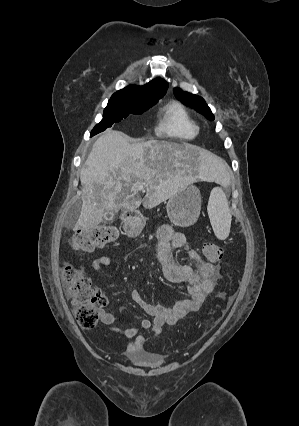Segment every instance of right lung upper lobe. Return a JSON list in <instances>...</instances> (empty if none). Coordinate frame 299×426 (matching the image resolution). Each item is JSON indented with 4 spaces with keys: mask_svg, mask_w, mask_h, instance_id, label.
I'll use <instances>...</instances> for the list:
<instances>
[{
    "mask_svg": "<svg viewBox=\"0 0 299 426\" xmlns=\"http://www.w3.org/2000/svg\"><path fill=\"white\" fill-rule=\"evenodd\" d=\"M167 88L168 83L161 78H157L142 87L128 86L114 93L112 97L123 100H136L143 94L149 92H164Z\"/></svg>",
    "mask_w": 299,
    "mask_h": 426,
    "instance_id": "cb5924a9",
    "label": "right lung upper lobe"
}]
</instances>
